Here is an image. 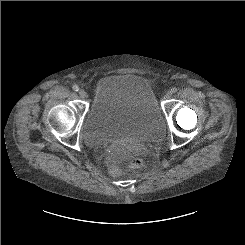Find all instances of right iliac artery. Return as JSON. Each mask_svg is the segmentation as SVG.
Listing matches in <instances>:
<instances>
[{"instance_id": "obj_1", "label": "right iliac artery", "mask_w": 245, "mask_h": 245, "mask_svg": "<svg viewBox=\"0 0 245 245\" xmlns=\"http://www.w3.org/2000/svg\"><path fill=\"white\" fill-rule=\"evenodd\" d=\"M73 90H74V91H78V90H79V87H78L77 85H74V86H73Z\"/></svg>"}]
</instances>
